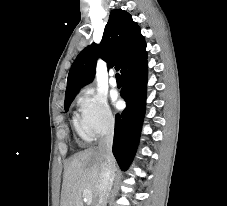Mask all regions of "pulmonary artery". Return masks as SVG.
Listing matches in <instances>:
<instances>
[{"instance_id": "obj_1", "label": "pulmonary artery", "mask_w": 227, "mask_h": 206, "mask_svg": "<svg viewBox=\"0 0 227 206\" xmlns=\"http://www.w3.org/2000/svg\"><path fill=\"white\" fill-rule=\"evenodd\" d=\"M109 84L112 86V87H116L117 86V80L116 78L111 74L110 78H109Z\"/></svg>"}]
</instances>
